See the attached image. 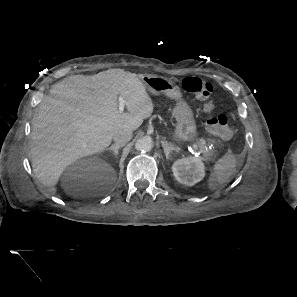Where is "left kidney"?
<instances>
[{
	"instance_id": "5707ae66",
	"label": "left kidney",
	"mask_w": 297,
	"mask_h": 297,
	"mask_svg": "<svg viewBox=\"0 0 297 297\" xmlns=\"http://www.w3.org/2000/svg\"><path fill=\"white\" fill-rule=\"evenodd\" d=\"M176 180L184 185L193 186L205 176V166L202 159L187 157L178 159L172 166Z\"/></svg>"
}]
</instances>
